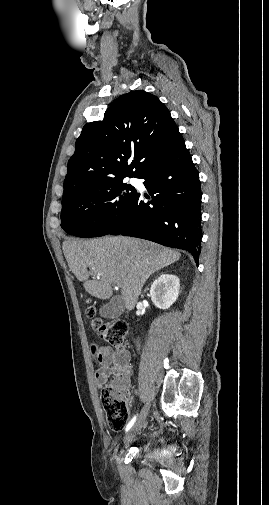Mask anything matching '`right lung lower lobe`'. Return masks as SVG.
<instances>
[{
    "mask_svg": "<svg viewBox=\"0 0 269 505\" xmlns=\"http://www.w3.org/2000/svg\"><path fill=\"white\" fill-rule=\"evenodd\" d=\"M151 197L137 193L125 215L108 234L133 236L187 250L197 265L201 251L199 173L183 143L160 157L138 177Z\"/></svg>",
    "mask_w": 269,
    "mask_h": 505,
    "instance_id": "right-lung-lower-lobe-1",
    "label": "right lung lower lobe"
}]
</instances>
